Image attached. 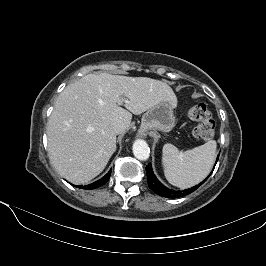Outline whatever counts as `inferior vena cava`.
<instances>
[{"mask_svg":"<svg viewBox=\"0 0 266 266\" xmlns=\"http://www.w3.org/2000/svg\"><path fill=\"white\" fill-rule=\"evenodd\" d=\"M111 129L114 134L118 135L125 131L126 125L122 120L118 119L111 123Z\"/></svg>","mask_w":266,"mask_h":266,"instance_id":"1","label":"inferior vena cava"}]
</instances>
